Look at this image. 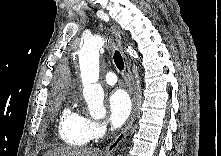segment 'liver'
Masks as SVG:
<instances>
[{
  "mask_svg": "<svg viewBox=\"0 0 221 156\" xmlns=\"http://www.w3.org/2000/svg\"><path fill=\"white\" fill-rule=\"evenodd\" d=\"M44 156H98V151L92 148L61 147L47 151Z\"/></svg>",
  "mask_w": 221,
  "mask_h": 156,
  "instance_id": "obj_1",
  "label": "liver"
}]
</instances>
